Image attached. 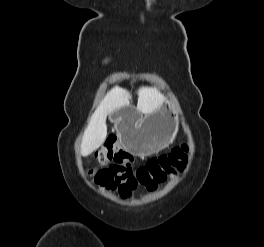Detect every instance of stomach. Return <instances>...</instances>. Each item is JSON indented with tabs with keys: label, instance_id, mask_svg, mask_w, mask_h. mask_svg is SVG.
Instances as JSON below:
<instances>
[{
	"label": "stomach",
	"instance_id": "1",
	"mask_svg": "<svg viewBox=\"0 0 264 247\" xmlns=\"http://www.w3.org/2000/svg\"><path fill=\"white\" fill-rule=\"evenodd\" d=\"M175 106H161L144 117H137L127 107L114 110V123L119 126L120 140L132 153L150 155L167 147L174 138L177 119Z\"/></svg>",
	"mask_w": 264,
	"mask_h": 247
}]
</instances>
